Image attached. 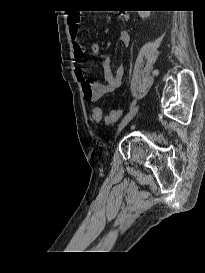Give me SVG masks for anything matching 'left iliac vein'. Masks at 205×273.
<instances>
[{"instance_id":"left-iliac-vein-1","label":"left iliac vein","mask_w":205,"mask_h":273,"mask_svg":"<svg viewBox=\"0 0 205 273\" xmlns=\"http://www.w3.org/2000/svg\"><path fill=\"white\" fill-rule=\"evenodd\" d=\"M139 110V105L135 106L134 108H132L126 115L125 117L122 119L118 131H117V135L121 132V130L132 120V118L137 114Z\"/></svg>"}]
</instances>
